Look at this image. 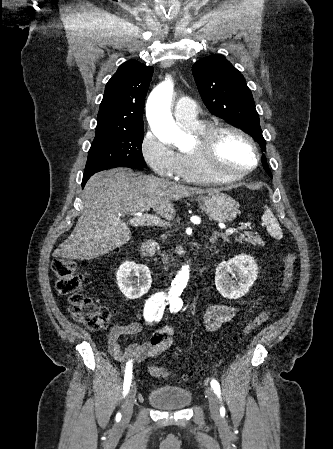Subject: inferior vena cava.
<instances>
[{"label": "inferior vena cava", "instance_id": "602c4592", "mask_svg": "<svg viewBox=\"0 0 333 449\" xmlns=\"http://www.w3.org/2000/svg\"><path fill=\"white\" fill-rule=\"evenodd\" d=\"M168 259H169L168 255H166V253L164 252V254H162V261H163V263H167Z\"/></svg>", "mask_w": 333, "mask_h": 449}]
</instances>
